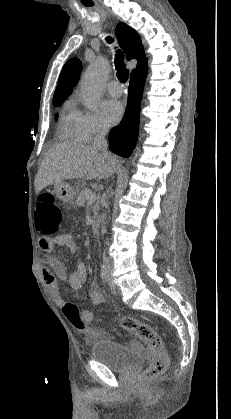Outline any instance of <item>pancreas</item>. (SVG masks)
Segmentation results:
<instances>
[{
	"mask_svg": "<svg viewBox=\"0 0 231 419\" xmlns=\"http://www.w3.org/2000/svg\"><path fill=\"white\" fill-rule=\"evenodd\" d=\"M87 193H91V190L88 188H85L83 190H81L77 196V200L75 202L76 205H78L79 207H83L85 205V203L87 202L86 199V194ZM94 202V206H93V212L94 214H97L98 211V202H96L95 200Z\"/></svg>",
	"mask_w": 231,
	"mask_h": 419,
	"instance_id": "1",
	"label": "pancreas"
}]
</instances>
